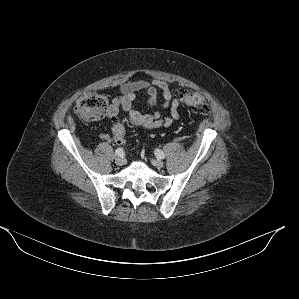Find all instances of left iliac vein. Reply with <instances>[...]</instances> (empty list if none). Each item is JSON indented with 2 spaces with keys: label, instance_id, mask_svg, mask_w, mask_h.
I'll list each match as a JSON object with an SVG mask.
<instances>
[{
  "label": "left iliac vein",
  "instance_id": "1",
  "mask_svg": "<svg viewBox=\"0 0 299 299\" xmlns=\"http://www.w3.org/2000/svg\"><path fill=\"white\" fill-rule=\"evenodd\" d=\"M152 164L157 168H162L164 166L163 161L159 159H152Z\"/></svg>",
  "mask_w": 299,
  "mask_h": 299
}]
</instances>
